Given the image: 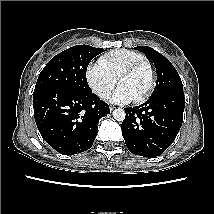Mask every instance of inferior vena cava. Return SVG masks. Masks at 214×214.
<instances>
[{
	"instance_id": "602c4592",
	"label": "inferior vena cava",
	"mask_w": 214,
	"mask_h": 214,
	"mask_svg": "<svg viewBox=\"0 0 214 214\" xmlns=\"http://www.w3.org/2000/svg\"><path fill=\"white\" fill-rule=\"evenodd\" d=\"M100 97L106 98L108 96V94L106 93V91L101 92Z\"/></svg>"
}]
</instances>
